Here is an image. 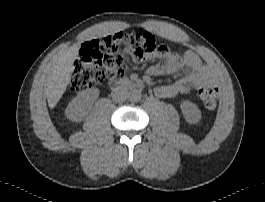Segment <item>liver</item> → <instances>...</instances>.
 <instances>
[{
	"mask_svg": "<svg viewBox=\"0 0 265 202\" xmlns=\"http://www.w3.org/2000/svg\"><path fill=\"white\" fill-rule=\"evenodd\" d=\"M79 49L80 44H74L60 54L48 76L46 96L51 109L57 105L66 91L73 72V63L78 56Z\"/></svg>",
	"mask_w": 265,
	"mask_h": 202,
	"instance_id": "obj_1",
	"label": "liver"
}]
</instances>
